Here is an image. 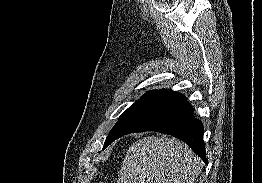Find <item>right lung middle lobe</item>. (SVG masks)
I'll list each match as a JSON object with an SVG mask.
<instances>
[{"instance_id":"1","label":"right lung middle lobe","mask_w":262,"mask_h":183,"mask_svg":"<svg viewBox=\"0 0 262 183\" xmlns=\"http://www.w3.org/2000/svg\"><path fill=\"white\" fill-rule=\"evenodd\" d=\"M157 92H146L139 100L131 105L118 119L115 126L109 133L104 145L111 144L117 139L123 130L130 124L139 113L147 106L150 100L156 95Z\"/></svg>"}]
</instances>
